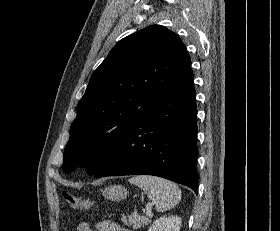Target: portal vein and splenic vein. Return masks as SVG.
Here are the masks:
<instances>
[{"mask_svg": "<svg viewBox=\"0 0 280 231\" xmlns=\"http://www.w3.org/2000/svg\"><path fill=\"white\" fill-rule=\"evenodd\" d=\"M146 215H148V217H153V213L151 211L150 205H148V207H146Z\"/></svg>", "mask_w": 280, "mask_h": 231, "instance_id": "18ae733b", "label": "portal vein and splenic vein"}]
</instances>
